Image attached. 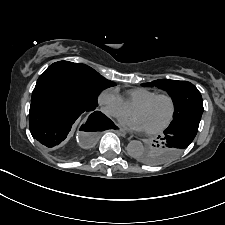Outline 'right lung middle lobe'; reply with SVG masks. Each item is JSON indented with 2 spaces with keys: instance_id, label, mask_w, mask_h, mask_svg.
<instances>
[{
  "instance_id": "1",
  "label": "right lung middle lobe",
  "mask_w": 225,
  "mask_h": 225,
  "mask_svg": "<svg viewBox=\"0 0 225 225\" xmlns=\"http://www.w3.org/2000/svg\"><path fill=\"white\" fill-rule=\"evenodd\" d=\"M42 75H54L75 86L94 106H98L97 97L106 88L115 86L91 67L69 61H59L50 65Z\"/></svg>"
}]
</instances>
